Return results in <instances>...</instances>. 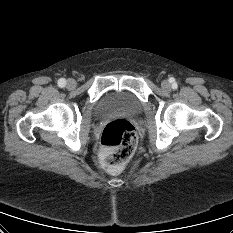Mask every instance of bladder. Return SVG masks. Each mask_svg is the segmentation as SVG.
<instances>
[{"mask_svg":"<svg viewBox=\"0 0 233 233\" xmlns=\"http://www.w3.org/2000/svg\"><path fill=\"white\" fill-rule=\"evenodd\" d=\"M142 109L139 98L128 91H110L96 103L95 114L99 117L115 113L138 114Z\"/></svg>","mask_w":233,"mask_h":233,"instance_id":"bladder-1","label":"bladder"}]
</instances>
